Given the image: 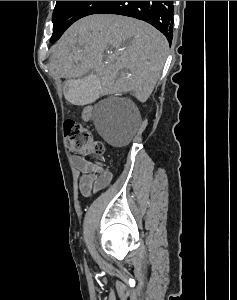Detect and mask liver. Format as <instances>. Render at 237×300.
<instances>
[{"label": "liver", "mask_w": 237, "mask_h": 300, "mask_svg": "<svg viewBox=\"0 0 237 300\" xmlns=\"http://www.w3.org/2000/svg\"><path fill=\"white\" fill-rule=\"evenodd\" d=\"M168 41L157 29L121 15H90L74 23L50 59L62 79L96 71L104 93H133L145 103L160 79Z\"/></svg>", "instance_id": "obj_1"}]
</instances>
